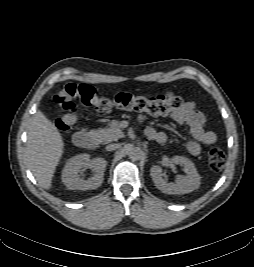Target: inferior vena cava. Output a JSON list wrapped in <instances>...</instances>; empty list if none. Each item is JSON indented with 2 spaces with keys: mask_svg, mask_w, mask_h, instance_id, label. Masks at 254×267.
<instances>
[{
  "mask_svg": "<svg viewBox=\"0 0 254 267\" xmlns=\"http://www.w3.org/2000/svg\"><path fill=\"white\" fill-rule=\"evenodd\" d=\"M118 148V145L117 144H109L107 147H106V150L107 151H113L115 149Z\"/></svg>",
  "mask_w": 254,
  "mask_h": 267,
  "instance_id": "1",
  "label": "inferior vena cava"
}]
</instances>
